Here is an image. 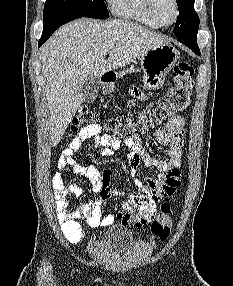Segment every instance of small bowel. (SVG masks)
Wrapping results in <instances>:
<instances>
[{
    "label": "small bowel",
    "instance_id": "small-bowel-1",
    "mask_svg": "<svg viewBox=\"0 0 233 286\" xmlns=\"http://www.w3.org/2000/svg\"><path fill=\"white\" fill-rule=\"evenodd\" d=\"M133 94L141 99L148 98L147 95L137 89L133 90ZM184 124V115L176 114L168 119L164 127L155 131L156 141L167 147L166 159L150 155L143 148L139 136L126 137L121 141L112 135L102 134L100 124H93L79 131L69 146L62 152L57 163L58 171L52 179L57 218L65 237L70 243L78 244L85 238L86 232L80 225V220L83 218L92 228L109 226L116 219L121 220L124 224L144 225L154 218L157 202L162 198L173 195L180 185ZM87 140L94 143L103 157L111 156L114 150L124 144L129 149L128 164L132 176L136 174L141 164L154 167L161 174L157 178H146L144 183L135 180L138 192L130 196L117 214L108 213L102 216L101 201L109 197L123 196L124 194L122 191L110 187V172L100 174L95 168L83 166L75 160L74 153ZM66 167H71L77 175L85 176L91 183L94 192L99 194V199L83 203L73 211L69 210V197L81 196L82 190L75 185L66 186L63 175V169ZM143 198L148 199L150 205L144 208L145 216L143 220L135 222L129 218L128 213L132 208L133 201Z\"/></svg>",
    "mask_w": 233,
    "mask_h": 286
}]
</instances>
